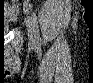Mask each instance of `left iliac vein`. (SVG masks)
<instances>
[{
    "instance_id": "1",
    "label": "left iliac vein",
    "mask_w": 93,
    "mask_h": 83,
    "mask_svg": "<svg viewBox=\"0 0 93 83\" xmlns=\"http://www.w3.org/2000/svg\"><path fill=\"white\" fill-rule=\"evenodd\" d=\"M26 26H27V30H28V35L30 38V41L33 43L34 42V27H33V23L30 17H27L26 20Z\"/></svg>"
}]
</instances>
